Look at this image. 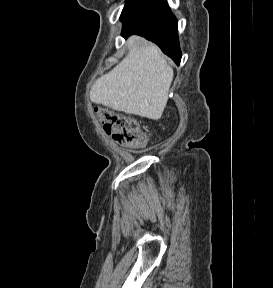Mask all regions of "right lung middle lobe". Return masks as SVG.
Masks as SVG:
<instances>
[{
  "mask_svg": "<svg viewBox=\"0 0 273 288\" xmlns=\"http://www.w3.org/2000/svg\"><path fill=\"white\" fill-rule=\"evenodd\" d=\"M138 1L139 0H127L125 7L121 13L120 20H123L129 14V12L133 9V7Z\"/></svg>",
  "mask_w": 273,
  "mask_h": 288,
  "instance_id": "dd1d6c3e",
  "label": "right lung middle lobe"
}]
</instances>
